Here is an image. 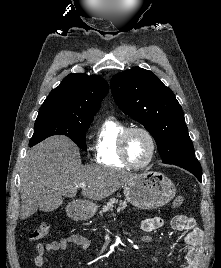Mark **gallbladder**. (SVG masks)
Returning <instances> with one entry per match:
<instances>
[{
	"label": "gallbladder",
	"mask_w": 221,
	"mask_h": 268,
	"mask_svg": "<svg viewBox=\"0 0 221 268\" xmlns=\"http://www.w3.org/2000/svg\"><path fill=\"white\" fill-rule=\"evenodd\" d=\"M40 204L41 205H37V210L52 212L63 204V199H40Z\"/></svg>",
	"instance_id": "1"
}]
</instances>
